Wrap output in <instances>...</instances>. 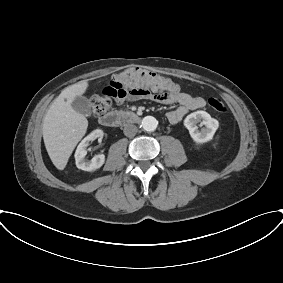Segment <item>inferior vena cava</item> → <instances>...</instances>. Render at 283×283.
<instances>
[{
	"label": "inferior vena cava",
	"instance_id": "602c4592",
	"mask_svg": "<svg viewBox=\"0 0 283 283\" xmlns=\"http://www.w3.org/2000/svg\"><path fill=\"white\" fill-rule=\"evenodd\" d=\"M137 131H138L137 127L133 124L125 125L124 130H123L124 134L128 137L135 136Z\"/></svg>",
	"mask_w": 283,
	"mask_h": 283
}]
</instances>
